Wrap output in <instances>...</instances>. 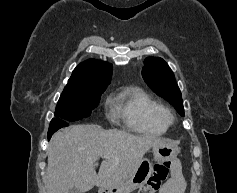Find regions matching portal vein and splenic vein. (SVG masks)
Instances as JSON below:
<instances>
[{"mask_svg":"<svg viewBox=\"0 0 237 193\" xmlns=\"http://www.w3.org/2000/svg\"><path fill=\"white\" fill-rule=\"evenodd\" d=\"M102 158H107V156H101Z\"/></svg>","mask_w":237,"mask_h":193,"instance_id":"portal-vein-and-splenic-vein-1","label":"portal vein and splenic vein"}]
</instances>
